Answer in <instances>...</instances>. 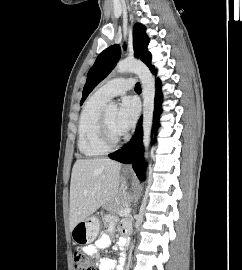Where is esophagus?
Returning <instances> with one entry per match:
<instances>
[{
    "mask_svg": "<svg viewBox=\"0 0 242 270\" xmlns=\"http://www.w3.org/2000/svg\"><path fill=\"white\" fill-rule=\"evenodd\" d=\"M127 168H131V165H130V164H128V165H127Z\"/></svg>",
    "mask_w": 242,
    "mask_h": 270,
    "instance_id": "34e87169",
    "label": "esophagus"
}]
</instances>
